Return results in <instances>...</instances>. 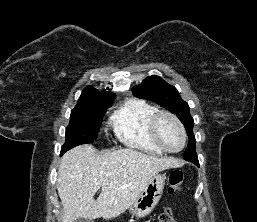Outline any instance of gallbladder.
Listing matches in <instances>:
<instances>
[{
    "mask_svg": "<svg viewBox=\"0 0 257 222\" xmlns=\"http://www.w3.org/2000/svg\"><path fill=\"white\" fill-rule=\"evenodd\" d=\"M74 222H93V221H90L89 219L79 218V219L75 220Z\"/></svg>",
    "mask_w": 257,
    "mask_h": 222,
    "instance_id": "bac80fb5",
    "label": "gallbladder"
}]
</instances>
